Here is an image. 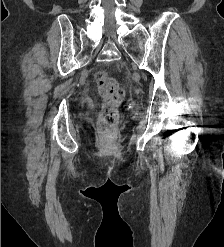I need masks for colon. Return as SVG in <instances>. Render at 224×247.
Returning a JSON list of instances; mask_svg holds the SVG:
<instances>
[{
	"instance_id": "obj_1",
	"label": "colon",
	"mask_w": 224,
	"mask_h": 247,
	"mask_svg": "<svg viewBox=\"0 0 224 247\" xmlns=\"http://www.w3.org/2000/svg\"><path fill=\"white\" fill-rule=\"evenodd\" d=\"M99 93L103 98L102 112L99 120L101 130L113 128L118 120L117 108L124 97V90L116 79L104 71H99L94 76Z\"/></svg>"
}]
</instances>
